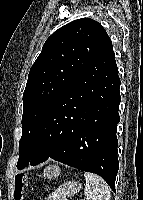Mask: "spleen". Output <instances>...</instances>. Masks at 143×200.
Wrapping results in <instances>:
<instances>
[{
    "instance_id": "spleen-1",
    "label": "spleen",
    "mask_w": 143,
    "mask_h": 200,
    "mask_svg": "<svg viewBox=\"0 0 143 200\" xmlns=\"http://www.w3.org/2000/svg\"><path fill=\"white\" fill-rule=\"evenodd\" d=\"M86 180L84 194L89 200H110V189L107 183L98 175L85 172Z\"/></svg>"
}]
</instances>
